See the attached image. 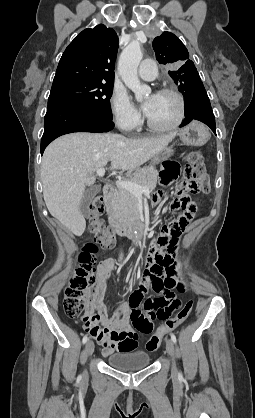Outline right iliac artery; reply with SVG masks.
Segmentation results:
<instances>
[{
  "instance_id": "1",
  "label": "right iliac artery",
  "mask_w": 255,
  "mask_h": 418,
  "mask_svg": "<svg viewBox=\"0 0 255 418\" xmlns=\"http://www.w3.org/2000/svg\"><path fill=\"white\" fill-rule=\"evenodd\" d=\"M87 340H88V336L85 335L82 339L83 344H85L87 342ZM79 379H81V377H79Z\"/></svg>"
}]
</instances>
